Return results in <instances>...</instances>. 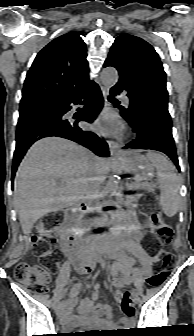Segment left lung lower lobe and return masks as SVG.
I'll return each mask as SVG.
<instances>
[{"label":"left lung lower lobe","mask_w":194,"mask_h":336,"mask_svg":"<svg viewBox=\"0 0 194 336\" xmlns=\"http://www.w3.org/2000/svg\"><path fill=\"white\" fill-rule=\"evenodd\" d=\"M109 65H104L107 67ZM123 90L127 91L130 99V109L126 111L118 106L121 116L129 123L132 130L137 133L136 140L125 146L132 149H149L165 153L180 170L178 158L172 136V123L168 109L145 108L136 102L131 90L122 82L111 88L110 94L116 96Z\"/></svg>","instance_id":"1"}]
</instances>
